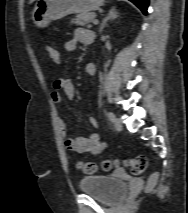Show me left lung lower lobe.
<instances>
[{"instance_id": "0a47b994", "label": "left lung lower lobe", "mask_w": 188, "mask_h": 213, "mask_svg": "<svg viewBox=\"0 0 188 213\" xmlns=\"http://www.w3.org/2000/svg\"><path fill=\"white\" fill-rule=\"evenodd\" d=\"M130 1L133 2L138 8H140L145 15L147 14L149 0H130Z\"/></svg>"}]
</instances>
